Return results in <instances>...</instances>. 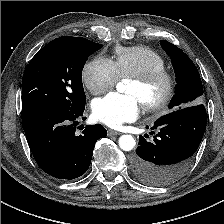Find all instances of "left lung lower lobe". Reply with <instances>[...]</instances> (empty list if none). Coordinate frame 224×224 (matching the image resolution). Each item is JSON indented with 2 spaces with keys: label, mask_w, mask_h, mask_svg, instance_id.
<instances>
[{
  "label": "left lung lower lobe",
  "mask_w": 224,
  "mask_h": 224,
  "mask_svg": "<svg viewBox=\"0 0 224 224\" xmlns=\"http://www.w3.org/2000/svg\"><path fill=\"white\" fill-rule=\"evenodd\" d=\"M206 122L203 104L184 107L159 118L152 127L157 129L153 141L139 136L137 155L132 159L135 177L153 186L167 185L181 177L199 147Z\"/></svg>",
  "instance_id": "obj_1"
}]
</instances>
